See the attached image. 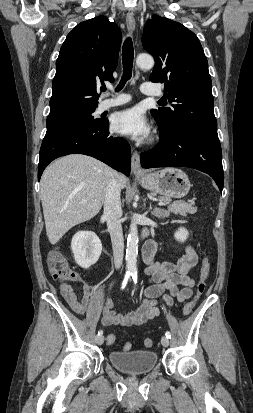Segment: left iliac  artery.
I'll use <instances>...</instances> for the list:
<instances>
[{
	"label": "left iliac artery",
	"instance_id": "left-iliac-artery-1",
	"mask_svg": "<svg viewBox=\"0 0 253 413\" xmlns=\"http://www.w3.org/2000/svg\"><path fill=\"white\" fill-rule=\"evenodd\" d=\"M132 277H133L134 282L136 283V282H137V275L135 274V275H133ZM165 336L170 339V338H171L170 332L167 331V332L165 333Z\"/></svg>",
	"mask_w": 253,
	"mask_h": 413
}]
</instances>
